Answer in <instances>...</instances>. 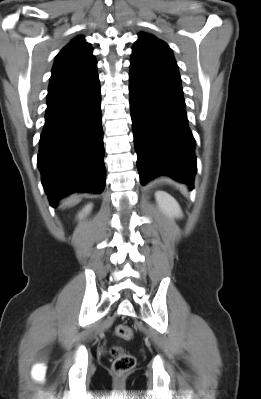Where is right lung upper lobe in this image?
Here are the masks:
<instances>
[{
	"mask_svg": "<svg viewBox=\"0 0 261 399\" xmlns=\"http://www.w3.org/2000/svg\"><path fill=\"white\" fill-rule=\"evenodd\" d=\"M91 46L82 36L73 39L56 56L48 90L60 89L83 81L97 72Z\"/></svg>",
	"mask_w": 261,
	"mask_h": 399,
	"instance_id": "right-lung-upper-lobe-1",
	"label": "right lung upper lobe"
}]
</instances>
